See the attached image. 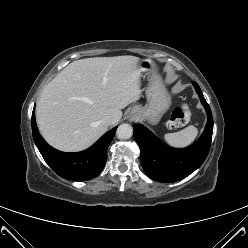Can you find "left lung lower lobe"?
<instances>
[{
  "label": "left lung lower lobe",
  "instance_id": "obj_1",
  "mask_svg": "<svg viewBox=\"0 0 248 248\" xmlns=\"http://www.w3.org/2000/svg\"><path fill=\"white\" fill-rule=\"evenodd\" d=\"M195 90L207 113V124L200 138L183 149L171 148L155 137L147 128L135 124L134 138L141 150V163L146 174L160 182H176L194 172L206 159L213 132V117L208 103L196 82Z\"/></svg>",
  "mask_w": 248,
  "mask_h": 248
}]
</instances>
